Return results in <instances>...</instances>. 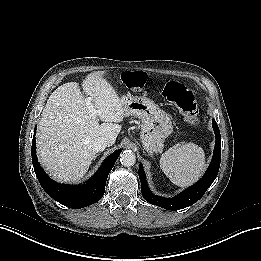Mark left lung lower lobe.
<instances>
[{"mask_svg": "<svg viewBox=\"0 0 261 261\" xmlns=\"http://www.w3.org/2000/svg\"><path fill=\"white\" fill-rule=\"evenodd\" d=\"M212 127L216 135L215 150L212 161L204 176L193 186L183 191L175 198L167 199L154 195L148 188L145 173L142 165H139V178L141 182V193L144 199L153 205L163 207L168 210H179L191 206L198 201L215 180L221 160V136L216 121L212 120Z\"/></svg>", "mask_w": 261, "mask_h": 261, "instance_id": "0a47b994", "label": "left lung lower lobe"}]
</instances>
